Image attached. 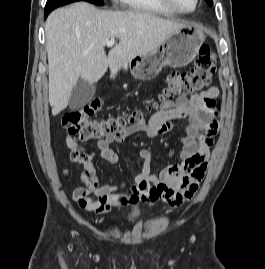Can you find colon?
Listing matches in <instances>:
<instances>
[{
	"instance_id": "1",
	"label": "colon",
	"mask_w": 265,
	"mask_h": 269,
	"mask_svg": "<svg viewBox=\"0 0 265 269\" xmlns=\"http://www.w3.org/2000/svg\"><path fill=\"white\" fill-rule=\"evenodd\" d=\"M216 71V58L207 45L200 48L199 55L193 68L189 71H173L167 79V85L163 89L160 100L165 102L174 96H189L203 91L209 87ZM103 105L101 98H96L82 108L67 112L62 119L65 129L66 144L69 140H91L116 136L125 128L139 122L143 118L142 112H132L126 115L112 116L103 120H94L92 116ZM215 126L210 130L214 133ZM194 190L191 191L193 196ZM148 194L153 200L167 198L164 187L151 186Z\"/></svg>"
}]
</instances>
